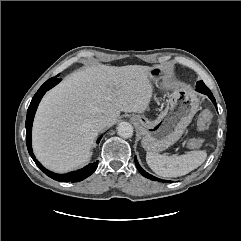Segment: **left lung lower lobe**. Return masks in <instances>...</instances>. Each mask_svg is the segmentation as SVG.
Returning a JSON list of instances; mask_svg holds the SVG:
<instances>
[{
    "label": "left lung lower lobe",
    "instance_id": "obj_1",
    "mask_svg": "<svg viewBox=\"0 0 241 241\" xmlns=\"http://www.w3.org/2000/svg\"><path fill=\"white\" fill-rule=\"evenodd\" d=\"M196 90H197L198 92H201V93H203V94H206V95L211 99V101L214 103L215 107L217 108L216 101H215V98L213 97V94L211 93V91L209 90V88L204 84L203 81L197 82V84H196ZM135 164H136L139 172H140L143 176H145L146 178L151 179V180H153V181H159V182H160V181H162V182H168V183L171 182V181H166V180H160V179H158V178L150 175V174L147 173L146 171H144V170L140 167V165H139V163H138V161H137V159H136V156H135Z\"/></svg>",
    "mask_w": 241,
    "mask_h": 241
}]
</instances>
